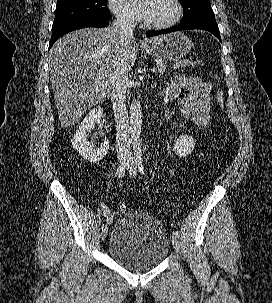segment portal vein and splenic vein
Wrapping results in <instances>:
<instances>
[{
	"mask_svg": "<svg viewBox=\"0 0 272 303\" xmlns=\"http://www.w3.org/2000/svg\"><path fill=\"white\" fill-rule=\"evenodd\" d=\"M151 71H152V72H156V71H157V68L154 67V68L151 69Z\"/></svg>",
	"mask_w": 272,
	"mask_h": 303,
	"instance_id": "obj_1",
	"label": "portal vein and splenic vein"
}]
</instances>
